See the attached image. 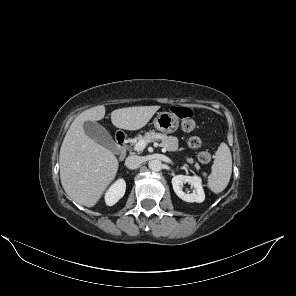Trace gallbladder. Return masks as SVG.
<instances>
[{
  "instance_id": "obj_1",
  "label": "gallbladder",
  "mask_w": 296,
  "mask_h": 296,
  "mask_svg": "<svg viewBox=\"0 0 296 296\" xmlns=\"http://www.w3.org/2000/svg\"><path fill=\"white\" fill-rule=\"evenodd\" d=\"M85 134L99 142L113 153H117L118 146L109 132L97 122L86 121L83 124Z\"/></svg>"
}]
</instances>
